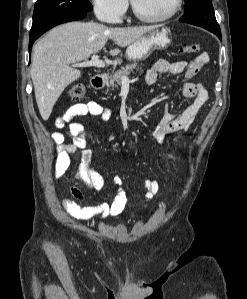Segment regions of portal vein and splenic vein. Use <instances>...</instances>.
<instances>
[{
  "label": "portal vein and splenic vein",
  "mask_w": 247,
  "mask_h": 299,
  "mask_svg": "<svg viewBox=\"0 0 247 299\" xmlns=\"http://www.w3.org/2000/svg\"><path fill=\"white\" fill-rule=\"evenodd\" d=\"M72 66L73 67L94 66V67H98V68H104L106 66V64L103 60L99 59V57L97 55H92L91 60L80 62V63H75ZM122 80H128V77L123 76Z\"/></svg>",
  "instance_id": "obj_1"
}]
</instances>
